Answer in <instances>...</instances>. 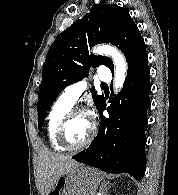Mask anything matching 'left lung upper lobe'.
<instances>
[{
  "instance_id": "left-lung-upper-lobe-1",
  "label": "left lung upper lobe",
  "mask_w": 178,
  "mask_h": 195,
  "mask_svg": "<svg viewBox=\"0 0 178 195\" xmlns=\"http://www.w3.org/2000/svg\"><path fill=\"white\" fill-rule=\"evenodd\" d=\"M103 42L117 46L127 63L146 52L144 40L127 9L104 2L93 6L86 16L60 33L48 50L38 94L39 127L58 94L88 76L90 66L103 64L114 71L110 58L89 54V47ZM92 97L98 109L103 96L93 92Z\"/></svg>"
}]
</instances>
